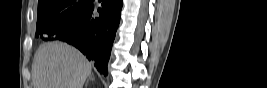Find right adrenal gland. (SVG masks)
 <instances>
[{
	"instance_id": "obj_1",
	"label": "right adrenal gland",
	"mask_w": 267,
	"mask_h": 88,
	"mask_svg": "<svg viewBox=\"0 0 267 88\" xmlns=\"http://www.w3.org/2000/svg\"><path fill=\"white\" fill-rule=\"evenodd\" d=\"M89 79L94 80L93 74H90L89 75V77H88V79L86 81V87H87V83H88Z\"/></svg>"
}]
</instances>
